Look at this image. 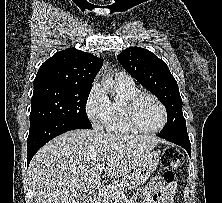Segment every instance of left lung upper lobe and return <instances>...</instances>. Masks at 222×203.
<instances>
[{
  "label": "left lung upper lobe",
  "instance_id": "left-lung-upper-lobe-1",
  "mask_svg": "<svg viewBox=\"0 0 222 203\" xmlns=\"http://www.w3.org/2000/svg\"><path fill=\"white\" fill-rule=\"evenodd\" d=\"M117 59L130 75L164 104L167 124L160 134L188 135L178 85L167 64L140 47L125 49Z\"/></svg>",
  "mask_w": 222,
  "mask_h": 203
}]
</instances>
